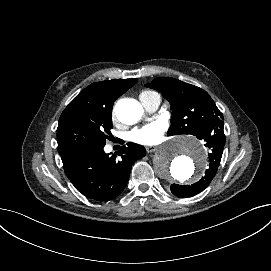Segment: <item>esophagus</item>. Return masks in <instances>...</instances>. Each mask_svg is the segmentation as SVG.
Here are the masks:
<instances>
[{"mask_svg":"<svg viewBox=\"0 0 271 271\" xmlns=\"http://www.w3.org/2000/svg\"><path fill=\"white\" fill-rule=\"evenodd\" d=\"M145 148L147 153H152L157 150V146H146Z\"/></svg>","mask_w":271,"mask_h":271,"instance_id":"34e87169","label":"esophagus"}]
</instances>
